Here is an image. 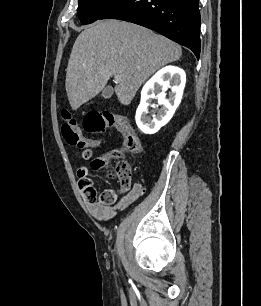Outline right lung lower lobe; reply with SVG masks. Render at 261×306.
<instances>
[{
  "label": "right lung lower lobe",
  "instance_id": "right-lung-lower-lobe-1",
  "mask_svg": "<svg viewBox=\"0 0 261 306\" xmlns=\"http://www.w3.org/2000/svg\"><path fill=\"white\" fill-rule=\"evenodd\" d=\"M99 19L125 20L155 30L199 58V0H117Z\"/></svg>",
  "mask_w": 261,
  "mask_h": 306
}]
</instances>
